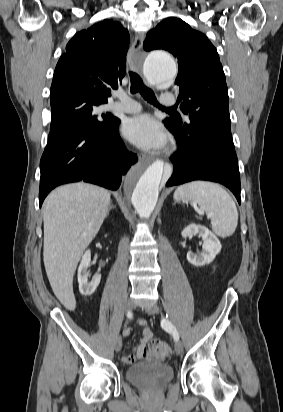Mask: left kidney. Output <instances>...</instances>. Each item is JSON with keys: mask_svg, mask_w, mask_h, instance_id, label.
I'll return each instance as SVG.
<instances>
[{"mask_svg": "<svg viewBox=\"0 0 283 412\" xmlns=\"http://www.w3.org/2000/svg\"><path fill=\"white\" fill-rule=\"evenodd\" d=\"M197 234L203 239L202 252L195 254L189 251L187 253V260L195 266H203L215 259L222 246L219 239L205 226L190 224L181 232L183 238Z\"/></svg>", "mask_w": 283, "mask_h": 412, "instance_id": "obj_1", "label": "left kidney"}]
</instances>
